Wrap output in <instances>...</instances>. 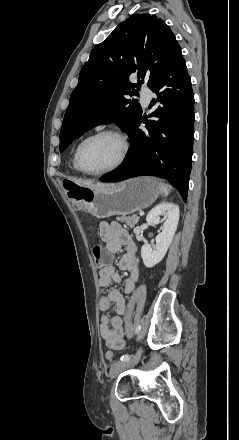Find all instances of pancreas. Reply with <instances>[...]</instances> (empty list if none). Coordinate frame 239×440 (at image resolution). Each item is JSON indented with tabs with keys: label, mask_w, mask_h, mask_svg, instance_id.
Listing matches in <instances>:
<instances>
[{
	"label": "pancreas",
	"mask_w": 239,
	"mask_h": 440,
	"mask_svg": "<svg viewBox=\"0 0 239 440\" xmlns=\"http://www.w3.org/2000/svg\"><path fill=\"white\" fill-rule=\"evenodd\" d=\"M119 222H124L126 226H130V228H134L135 224L139 222V216H121V218H117Z\"/></svg>",
	"instance_id": "1"
}]
</instances>
